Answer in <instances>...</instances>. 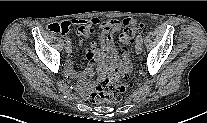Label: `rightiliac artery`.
<instances>
[{"label":"right iliac artery","instance_id":"obj_1","mask_svg":"<svg viewBox=\"0 0 207 123\" xmlns=\"http://www.w3.org/2000/svg\"><path fill=\"white\" fill-rule=\"evenodd\" d=\"M65 40H66V43H71L69 38H66Z\"/></svg>","mask_w":207,"mask_h":123}]
</instances>
